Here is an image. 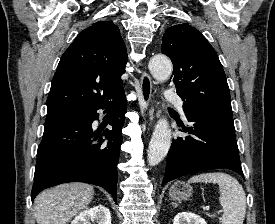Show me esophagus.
Masks as SVG:
<instances>
[{"instance_id": "obj_1", "label": "esophagus", "mask_w": 275, "mask_h": 224, "mask_svg": "<svg viewBox=\"0 0 275 224\" xmlns=\"http://www.w3.org/2000/svg\"><path fill=\"white\" fill-rule=\"evenodd\" d=\"M140 96L141 105L144 109H148L150 102L152 100V80L151 77L146 72H141L140 78Z\"/></svg>"}]
</instances>
